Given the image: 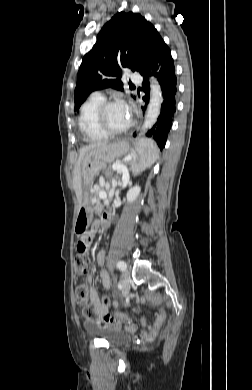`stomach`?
Returning <instances> with one entry per match:
<instances>
[{
  "label": "stomach",
  "mask_w": 252,
  "mask_h": 390,
  "mask_svg": "<svg viewBox=\"0 0 252 390\" xmlns=\"http://www.w3.org/2000/svg\"><path fill=\"white\" fill-rule=\"evenodd\" d=\"M125 151V144L114 143L86 153L81 165L84 192L74 222V230L76 233L79 234L85 231L93 219L94 206L89 199L87 188L93 183V179L99 171L105 169L107 164L112 163Z\"/></svg>",
  "instance_id": "stomach-1"
}]
</instances>
